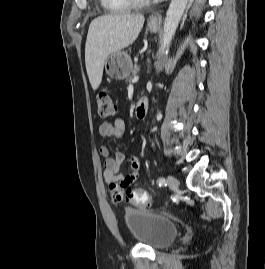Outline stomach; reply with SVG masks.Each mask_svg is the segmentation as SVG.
<instances>
[{
	"instance_id": "obj_1",
	"label": "stomach",
	"mask_w": 265,
	"mask_h": 269,
	"mask_svg": "<svg viewBox=\"0 0 265 269\" xmlns=\"http://www.w3.org/2000/svg\"><path fill=\"white\" fill-rule=\"evenodd\" d=\"M151 32H156L159 28L158 24L148 23ZM133 65L130 56L119 51L111 54L105 62V70L109 77L116 80H122L128 77L132 71Z\"/></svg>"
}]
</instances>
